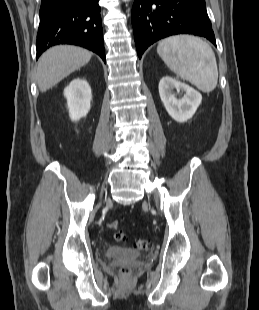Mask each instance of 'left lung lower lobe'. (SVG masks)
I'll return each instance as SVG.
<instances>
[{
  "label": "left lung lower lobe",
  "mask_w": 259,
  "mask_h": 310,
  "mask_svg": "<svg viewBox=\"0 0 259 310\" xmlns=\"http://www.w3.org/2000/svg\"><path fill=\"white\" fill-rule=\"evenodd\" d=\"M131 15L139 58L151 44L175 34L202 36L216 45L205 0H135Z\"/></svg>",
  "instance_id": "left-lung-lower-lobe-1"
}]
</instances>
